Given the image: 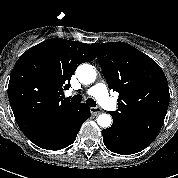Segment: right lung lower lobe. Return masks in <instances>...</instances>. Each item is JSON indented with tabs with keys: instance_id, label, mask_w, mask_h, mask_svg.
<instances>
[{
	"instance_id": "obj_1",
	"label": "right lung lower lobe",
	"mask_w": 178,
	"mask_h": 178,
	"mask_svg": "<svg viewBox=\"0 0 178 178\" xmlns=\"http://www.w3.org/2000/svg\"><path fill=\"white\" fill-rule=\"evenodd\" d=\"M90 116V108L82 103L75 120L69 126L63 129L47 132L29 140L43 149L60 150L66 148L75 141L82 124Z\"/></svg>"
}]
</instances>
